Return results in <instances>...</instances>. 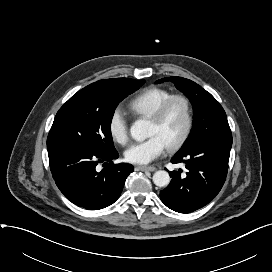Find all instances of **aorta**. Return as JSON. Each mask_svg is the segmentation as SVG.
Segmentation results:
<instances>
[{
    "label": "aorta",
    "instance_id": "obj_1",
    "mask_svg": "<svg viewBox=\"0 0 272 272\" xmlns=\"http://www.w3.org/2000/svg\"><path fill=\"white\" fill-rule=\"evenodd\" d=\"M148 129V121L137 120L130 128L131 136L137 141H144L148 136ZM153 182L158 187H165L170 183V176L167 171H156L153 175Z\"/></svg>",
    "mask_w": 272,
    "mask_h": 272
}]
</instances>
